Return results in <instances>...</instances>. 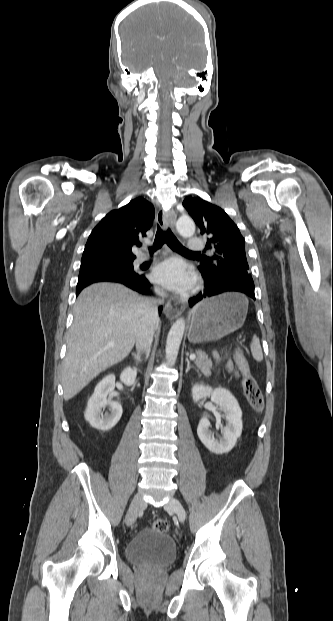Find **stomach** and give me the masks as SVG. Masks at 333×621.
I'll return each mask as SVG.
<instances>
[{
    "label": "stomach",
    "instance_id": "obj_1",
    "mask_svg": "<svg viewBox=\"0 0 333 621\" xmlns=\"http://www.w3.org/2000/svg\"><path fill=\"white\" fill-rule=\"evenodd\" d=\"M247 314L242 295L225 293L206 299L192 310L188 339L192 343L213 342L238 330Z\"/></svg>",
    "mask_w": 333,
    "mask_h": 621
}]
</instances>
